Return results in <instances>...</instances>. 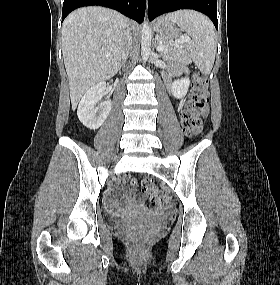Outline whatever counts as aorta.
I'll return each instance as SVG.
<instances>
[{
	"label": "aorta",
	"mask_w": 280,
	"mask_h": 285,
	"mask_svg": "<svg viewBox=\"0 0 280 285\" xmlns=\"http://www.w3.org/2000/svg\"><path fill=\"white\" fill-rule=\"evenodd\" d=\"M141 55L143 61H147L149 54H150V46H151V39H152V31L150 29V26L146 21H144L142 25V31H141Z\"/></svg>",
	"instance_id": "aorta-1"
}]
</instances>
